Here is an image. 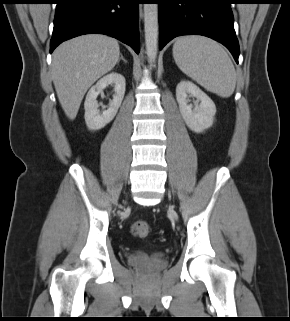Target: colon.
Returning a JSON list of instances; mask_svg holds the SVG:
<instances>
[{
	"mask_svg": "<svg viewBox=\"0 0 290 321\" xmlns=\"http://www.w3.org/2000/svg\"><path fill=\"white\" fill-rule=\"evenodd\" d=\"M132 233L138 238L145 239L150 236L151 228L146 221L138 220L132 225Z\"/></svg>",
	"mask_w": 290,
	"mask_h": 321,
	"instance_id": "colon-1",
	"label": "colon"
}]
</instances>
